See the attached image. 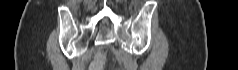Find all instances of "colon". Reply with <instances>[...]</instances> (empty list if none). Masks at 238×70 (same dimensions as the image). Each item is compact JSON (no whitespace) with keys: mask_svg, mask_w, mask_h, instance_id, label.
<instances>
[{"mask_svg":"<svg viewBox=\"0 0 238 70\" xmlns=\"http://www.w3.org/2000/svg\"><path fill=\"white\" fill-rule=\"evenodd\" d=\"M106 58L102 53L96 54L90 65V70H103L105 68Z\"/></svg>","mask_w":238,"mask_h":70,"instance_id":"1","label":"colon"}]
</instances>
